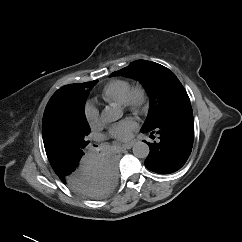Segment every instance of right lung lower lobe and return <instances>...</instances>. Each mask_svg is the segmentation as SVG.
I'll return each mask as SVG.
<instances>
[{"label": "right lung lower lobe", "instance_id": "obj_1", "mask_svg": "<svg viewBox=\"0 0 242 242\" xmlns=\"http://www.w3.org/2000/svg\"><path fill=\"white\" fill-rule=\"evenodd\" d=\"M52 167L64 184L91 199L108 196L118 179L116 161L112 155L81 157Z\"/></svg>", "mask_w": 242, "mask_h": 242}]
</instances>
